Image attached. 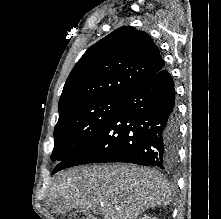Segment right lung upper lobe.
Returning <instances> with one entry per match:
<instances>
[{
  "label": "right lung upper lobe",
  "instance_id": "right-lung-upper-lobe-1",
  "mask_svg": "<svg viewBox=\"0 0 221 219\" xmlns=\"http://www.w3.org/2000/svg\"><path fill=\"white\" fill-rule=\"evenodd\" d=\"M164 61L151 37L123 26L92 45L71 71L59 100V114L101 98H122L158 73Z\"/></svg>",
  "mask_w": 221,
  "mask_h": 219
}]
</instances>
